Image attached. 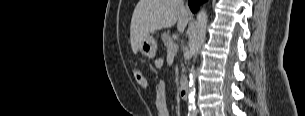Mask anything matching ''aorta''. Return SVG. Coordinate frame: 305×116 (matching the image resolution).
<instances>
[{
  "label": "aorta",
  "instance_id": "1",
  "mask_svg": "<svg viewBox=\"0 0 305 116\" xmlns=\"http://www.w3.org/2000/svg\"><path fill=\"white\" fill-rule=\"evenodd\" d=\"M207 21H208L207 12L205 9H202L197 16V19L192 28L191 36H190V52L193 56V62L196 61L199 50L204 43L206 30H207ZM189 72L190 73H189V83H188V110L189 113L194 114L196 111V105H195L196 73L193 66Z\"/></svg>",
  "mask_w": 305,
  "mask_h": 116
}]
</instances>
